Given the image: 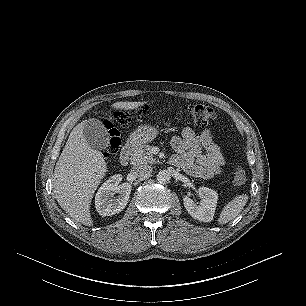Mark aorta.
Masks as SVG:
<instances>
[{
  "mask_svg": "<svg viewBox=\"0 0 306 306\" xmlns=\"http://www.w3.org/2000/svg\"><path fill=\"white\" fill-rule=\"evenodd\" d=\"M171 179V174L167 170H161L157 174V181L162 184H167Z\"/></svg>",
  "mask_w": 306,
  "mask_h": 306,
  "instance_id": "762f6f07",
  "label": "aorta"
}]
</instances>
